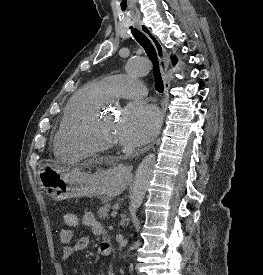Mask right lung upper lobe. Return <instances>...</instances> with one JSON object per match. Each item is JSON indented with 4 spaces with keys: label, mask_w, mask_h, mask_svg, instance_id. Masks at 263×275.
Here are the masks:
<instances>
[{
    "label": "right lung upper lobe",
    "mask_w": 263,
    "mask_h": 275,
    "mask_svg": "<svg viewBox=\"0 0 263 275\" xmlns=\"http://www.w3.org/2000/svg\"><path fill=\"white\" fill-rule=\"evenodd\" d=\"M172 61H173V64L175 65V63H176V58H175V57H172Z\"/></svg>",
    "instance_id": "obj_1"
}]
</instances>
